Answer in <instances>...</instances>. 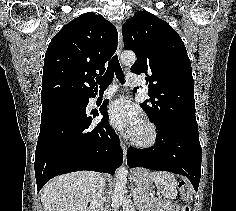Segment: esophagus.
Segmentation results:
<instances>
[{
    "label": "esophagus",
    "instance_id": "34e87169",
    "mask_svg": "<svg viewBox=\"0 0 236 211\" xmlns=\"http://www.w3.org/2000/svg\"><path fill=\"white\" fill-rule=\"evenodd\" d=\"M116 28L118 31V45H117V54L120 55L122 52V47H123V43H122V34H121V24L117 23L116 24ZM120 145L123 151V155L124 158H126V154H127V146L125 144V142L120 138Z\"/></svg>",
    "mask_w": 236,
    "mask_h": 211
}]
</instances>
